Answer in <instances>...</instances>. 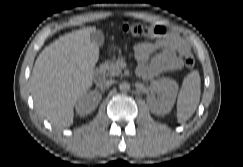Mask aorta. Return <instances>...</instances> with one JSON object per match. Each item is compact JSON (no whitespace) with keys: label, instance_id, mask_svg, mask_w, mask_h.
<instances>
[{"label":"aorta","instance_id":"1","mask_svg":"<svg viewBox=\"0 0 243 167\" xmlns=\"http://www.w3.org/2000/svg\"><path fill=\"white\" fill-rule=\"evenodd\" d=\"M119 89L123 92L129 91L130 90V84L128 82H122L119 85Z\"/></svg>","mask_w":243,"mask_h":167}]
</instances>
